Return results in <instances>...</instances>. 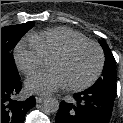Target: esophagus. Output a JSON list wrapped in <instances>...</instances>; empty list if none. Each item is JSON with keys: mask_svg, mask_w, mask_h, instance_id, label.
Segmentation results:
<instances>
[{"mask_svg": "<svg viewBox=\"0 0 123 123\" xmlns=\"http://www.w3.org/2000/svg\"><path fill=\"white\" fill-rule=\"evenodd\" d=\"M44 100H45L44 97H40V96H37V97H36V102H37V103H42Z\"/></svg>", "mask_w": 123, "mask_h": 123, "instance_id": "1", "label": "esophagus"}]
</instances>
